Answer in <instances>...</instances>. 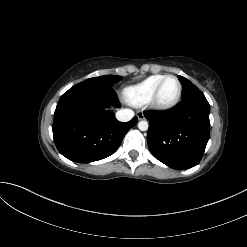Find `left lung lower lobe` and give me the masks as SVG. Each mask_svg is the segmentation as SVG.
<instances>
[{
    "mask_svg": "<svg viewBox=\"0 0 247 247\" xmlns=\"http://www.w3.org/2000/svg\"><path fill=\"white\" fill-rule=\"evenodd\" d=\"M210 105L198 90L167 111H147L148 147L153 156L174 169L197 165L210 136Z\"/></svg>",
    "mask_w": 247,
    "mask_h": 247,
    "instance_id": "obj_1",
    "label": "left lung lower lobe"
}]
</instances>
